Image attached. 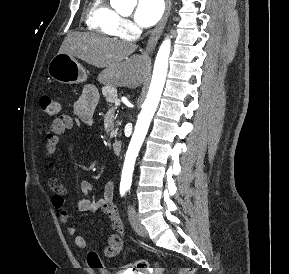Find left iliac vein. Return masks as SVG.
I'll return each mask as SVG.
<instances>
[{
    "mask_svg": "<svg viewBox=\"0 0 289 274\" xmlns=\"http://www.w3.org/2000/svg\"><path fill=\"white\" fill-rule=\"evenodd\" d=\"M129 220L132 228L137 234L142 237L147 236L146 228L141 224L138 214L132 208H129Z\"/></svg>",
    "mask_w": 289,
    "mask_h": 274,
    "instance_id": "obj_1",
    "label": "left iliac vein"
}]
</instances>
